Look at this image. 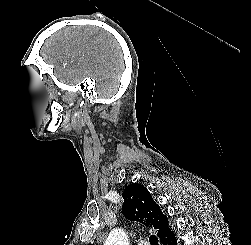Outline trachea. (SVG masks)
Returning a JSON list of instances; mask_svg holds the SVG:
<instances>
[{
    "mask_svg": "<svg viewBox=\"0 0 251 245\" xmlns=\"http://www.w3.org/2000/svg\"><path fill=\"white\" fill-rule=\"evenodd\" d=\"M149 242H150V245H158V241L155 235H151L149 237Z\"/></svg>",
    "mask_w": 251,
    "mask_h": 245,
    "instance_id": "trachea-1",
    "label": "trachea"
}]
</instances>
